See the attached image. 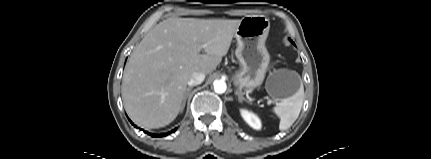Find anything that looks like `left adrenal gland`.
<instances>
[{"instance_id": "1", "label": "left adrenal gland", "mask_w": 431, "mask_h": 159, "mask_svg": "<svg viewBox=\"0 0 431 159\" xmlns=\"http://www.w3.org/2000/svg\"><path fill=\"white\" fill-rule=\"evenodd\" d=\"M236 94L238 95V100H239L240 103H242L243 101L249 103V101L245 97H243V95H242L241 92L237 91Z\"/></svg>"}]
</instances>
